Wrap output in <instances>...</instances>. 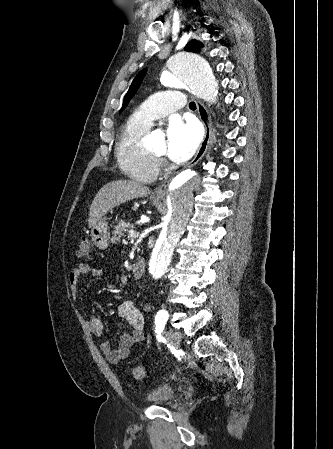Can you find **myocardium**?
I'll return each mask as SVG.
<instances>
[{"instance_id":"1","label":"myocardium","mask_w":333,"mask_h":449,"mask_svg":"<svg viewBox=\"0 0 333 449\" xmlns=\"http://www.w3.org/2000/svg\"><path fill=\"white\" fill-rule=\"evenodd\" d=\"M150 153H151V155H152L155 159H157L158 161H161V160L164 159V155H159V154H156V153H154V152H150Z\"/></svg>"}]
</instances>
